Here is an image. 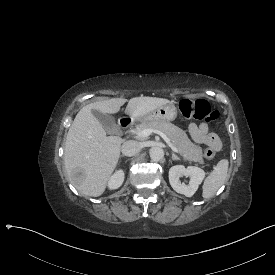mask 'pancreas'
Listing matches in <instances>:
<instances>
[{"instance_id":"cf45deb5","label":"pancreas","mask_w":275,"mask_h":275,"mask_svg":"<svg viewBox=\"0 0 275 275\" xmlns=\"http://www.w3.org/2000/svg\"><path fill=\"white\" fill-rule=\"evenodd\" d=\"M148 128L157 129L165 133L171 140L173 146L177 148L178 153L185 159L199 162L200 164L204 163L201 147L193 144L187 137L186 133L179 127L164 120L155 122H142L132 130V133L137 135V139L145 140L146 138L138 136V133Z\"/></svg>"}]
</instances>
